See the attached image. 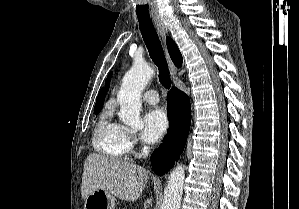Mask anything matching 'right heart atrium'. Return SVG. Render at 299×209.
Wrapping results in <instances>:
<instances>
[{
  "mask_svg": "<svg viewBox=\"0 0 299 209\" xmlns=\"http://www.w3.org/2000/svg\"><path fill=\"white\" fill-rule=\"evenodd\" d=\"M126 141H127L128 146H129V149L131 150L137 144V137L133 134L127 133Z\"/></svg>",
  "mask_w": 299,
  "mask_h": 209,
  "instance_id": "1",
  "label": "right heart atrium"
}]
</instances>
